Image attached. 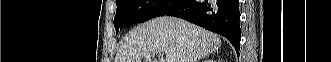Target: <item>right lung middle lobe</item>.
Listing matches in <instances>:
<instances>
[{
  "instance_id": "right-lung-middle-lobe-1",
  "label": "right lung middle lobe",
  "mask_w": 331,
  "mask_h": 62,
  "mask_svg": "<svg viewBox=\"0 0 331 62\" xmlns=\"http://www.w3.org/2000/svg\"><path fill=\"white\" fill-rule=\"evenodd\" d=\"M181 0H118L114 18L116 33L119 29L134 23H142L162 16Z\"/></svg>"
}]
</instances>
